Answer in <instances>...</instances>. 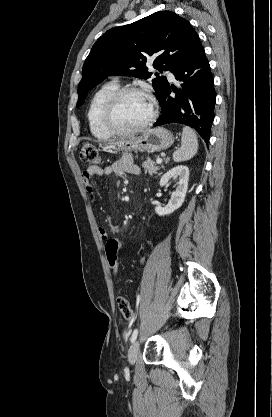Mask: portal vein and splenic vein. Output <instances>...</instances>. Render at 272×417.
Returning a JSON list of instances; mask_svg holds the SVG:
<instances>
[{"instance_id":"18ae733b","label":"portal vein and splenic vein","mask_w":272,"mask_h":417,"mask_svg":"<svg viewBox=\"0 0 272 417\" xmlns=\"http://www.w3.org/2000/svg\"><path fill=\"white\" fill-rule=\"evenodd\" d=\"M156 162H157V164H161L162 163V159L161 158H157Z\"/></svg>"}]
</instances>
